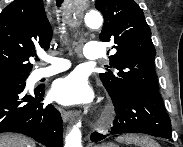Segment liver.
Returning a JSON list of instances; mask_svg holds the SVG:
<instances>
[{
  "label": "liver",
  "mask_w": 183,
  "mask_h": 147,
  "mask_svg": "<svg viewBox=\"0 0 183 147\" xmlns=\"http://www.w3.org/2000/svg\"><path fill=\"white\" fill-rule=\"evenodd\" d=\"M0 147H35L33 140L17 134L0 135Z\"/></svg>",
  "instance_id": "obj_1"
}]
</instances>
